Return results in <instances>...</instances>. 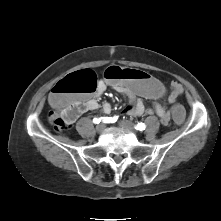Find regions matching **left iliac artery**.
I'll return each instance as SVG.
<instances>
[{"mask_svg":"<svg viewBox=\"0 0 221 221\" xmlns=\"http://www.w3.org/2000/svg\"><path fill=\"white\" fill-rule=\"evenodd\" d=\"M146 126L144 123H138L135 125V129L139 130V131H143L145 130Z\"/></svg>","mask_w":221,"mask_h":221,"instance_id":"left-iliac-artery-1","label":"left iliac artery"}]
</instances>
